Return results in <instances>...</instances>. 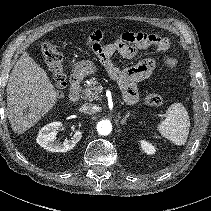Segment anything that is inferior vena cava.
<instances>
[{
    "label": "inferior vena cava",
    "mask_w": 211,
    "mask_h": 211,
    "mask_svg": "<svg viewBox=\"0 0 211 211\" xmlns=\"http://www.w3.org/2000/svg\"><path fill=\"white\" fill-rule=\"evenodd\" d=\"M99 109L98 106L96 105H92V104H84L82 107H81V111L86 113V114H94L95 112H97Z\"/></svg>",
    "instance_id": "602c4592"
}]
</instances>
